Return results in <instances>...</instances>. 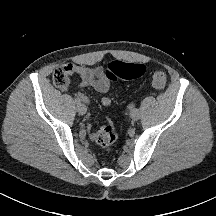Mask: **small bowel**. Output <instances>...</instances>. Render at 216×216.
Wrapping results in <instances>:
<instances>
[{"mask_svg": "<svg viewBox=\"0 0 216 216\" xmlns=\"http://www.w3.org/2000/svg\"><path fill=\"white\" fill-rule=\"evenodd\" d=\"M71 72L75 74L79 79L78 87L80 89L84 87H91L98 92L106 93L110 89V83L105 78L104 70L101 66H84V65H72L69 64ZM76 98L84 103H89L88 97L82 92L77 91ZM101 103L104 106H109L112 103V98L110 96H104L101 99ZM96 130L90 129V135L94 139L96 135Z\"/></svg>", "mask_w": 216, "mask_h": 216, "instance_id": "1", "label": "small bowel"}]
</instances>
